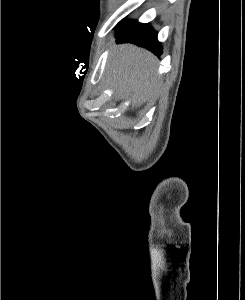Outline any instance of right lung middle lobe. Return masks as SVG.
<instances>
[{
	"instance_id": "1",
	"label": "right lung middle lobe",
	"mask_w": 245,
	"mask_h": 300,
	"mask_svg": "<svg viewBox=\"0 0 245 300\" xmlns=\"http://www.w3.org/2000/svg\"><path fill=\"white\" fill-rule=\"evenodd\" d=\"M136 23H137V21H129L128 23H126L119 29L118 34L124 32L125 30H127L128 28H130L131 26H133Z\"/></svg>"
}]
</instances>
